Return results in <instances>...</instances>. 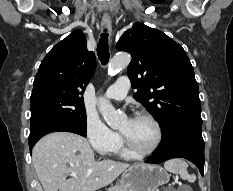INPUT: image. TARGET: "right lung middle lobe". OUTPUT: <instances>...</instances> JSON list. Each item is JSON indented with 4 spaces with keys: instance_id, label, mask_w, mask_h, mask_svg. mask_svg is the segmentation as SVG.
I'll return each instance as SVG.
<instances>
[{
    "instance_id": "obj_1",
    "label": "right lung middle lobe",
    "mask_w": 233,
    "mask_h": 191,
    "mask_svg": "<svg viewBox=\"0 0 233 191\" xmlns=\"http://www.w3.org/2000/svg\"><path fill=\"white\" fill-rule=\"evenodd\" d=\"M33 130L43 124H66L86 133V112L83 102L58 96H43L30 100Z\"/></svg>"
}]
</instances>
